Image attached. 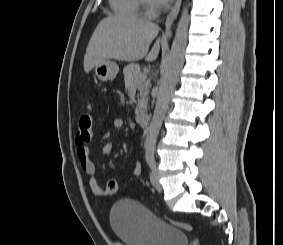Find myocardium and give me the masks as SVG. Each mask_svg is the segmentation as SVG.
<instances>
[{"label":"myocardium","mask_w":283,"mask_h":245,"mask_svg":"<svg viewBox=\"0 0 283 245\" xmlns=\"http://www.w3.org/2000/svg\"><path fill=\"white\" fill-rule=\"evenodd\" d=\"M140 1H141V6L146 14L153 15L155 13V7L154 4L151 2V0H140Z\"/></svg>","instance_id":"1"}]
</instances>
